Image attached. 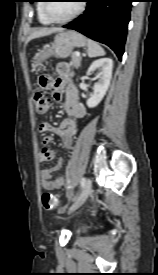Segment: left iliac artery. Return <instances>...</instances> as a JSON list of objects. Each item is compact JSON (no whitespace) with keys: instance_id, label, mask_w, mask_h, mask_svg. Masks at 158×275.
Masks as SVG:
<instances>
[{"instance_id":"obj_1","label":"left iliac artery","mask_w":158,"mask_h":275,"mask_svg":"<svg viewBox=\"0 0 158 275\" xmlns=\"http://www.w3.org/2000/svg\"><path fill=\"white\" fill-rule=\"evenodd\" d=\"M80 184H81V187L83 188V187H84V184H85V178H82V179H81Z\"/></svg>"}]
</instances>
